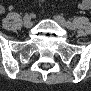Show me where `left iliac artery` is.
<instances>
[{"mask_svg":"<svg viewBox=\"0 0 91 91\" xmlns=\"http://www.w3.org/2000/svg\"><path fill=\"white\" fill-rule=\"evenodd\" d=\"M66 26H67V28H69V27H72V28H73L72 23H71L70 21H68V22L66 23Z\"/></svg>","mask_w":91,"mask_h":91,"instance_id":"44dca946","label":"left iliac artery"}]
</instances>
